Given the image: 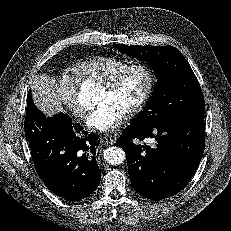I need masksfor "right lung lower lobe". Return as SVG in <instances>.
<instances>
[{
    "mask_svg": "<svg viewBox=\"0 0 231 231\" xmlns=\"http://www.w3.org/2000/svg\"><path fill=\"white\" fill-rule=\"evenodd\" d=\"M25 136L36 171L54 194L78 201L96 190L101 178L95 159L99 137L84 132L67 114L46 117L35 106L31 91L27 96Z\"/></svg>",
    "mask_w": 231,
    "mask_h": 231,
    "instance_id": "right-lung-lower-lobe-1",
    "label": "right lung lower lobe"
}]
</instances>
